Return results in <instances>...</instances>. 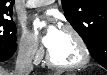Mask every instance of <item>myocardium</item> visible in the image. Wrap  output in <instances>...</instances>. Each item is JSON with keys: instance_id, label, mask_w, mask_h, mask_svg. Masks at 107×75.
<instances>
[{"instance_id": "1", "label": "myocardium", "mask_w": 107, "mask_h": 75, "mask_svg": "<svg viewBox=\"0 0 107 75\" xmlns=\"http://www.w3.org/2000/svg\"><path fill=\"white\" fill-rule=\"evenodd\" d=\"M61 31L68 32L75 38L81 51V59L73 64L68 65L58 64L52 59L50 52H48L46 56V62L48 66H50L53 69L62 71L75 70L84 67L90 60V51L86 41L84 40L82 35L78 32V30L71 25H64Z\"/></svg>"}]
</instances>
